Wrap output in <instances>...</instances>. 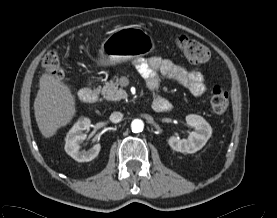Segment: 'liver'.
<instances>
[{"label": "liver", "instance_id": "1", "mask_svg": "<svg viewBox=\"0 0 277 218\" xmlns=\"http://www.w3.org/2000/svg\"><path fill=\"white\" fill-rule=\"evenodd\" d=\"M75 113V96L70 87L52 74H43L34 101V115L41 134L52 137L71 122Z\"/></svg>", "mask_w": 277, "mask_h": 218}]
</instances>
